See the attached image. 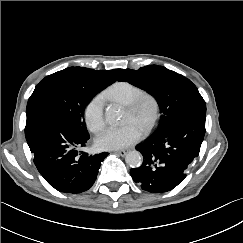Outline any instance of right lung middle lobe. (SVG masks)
<instances>
[{"label":"right lung middle lobe","mask_w":243,"mask_h":243,"mask_svg":"<svg viewBox=\"0 0 243 243\" xmlns=\"http://www.w3.org/2000/svg\"><path fill=\"white\" fill-rule=\"evenodd\" d=\"M110 83L79 80L67 68L45 77L35 87L27 103V110L42 107L64 116L74 128L88 134L84 111L89 101Z\"/></svg>","instance_id":"dd1d6c3e"}]
</instances>
